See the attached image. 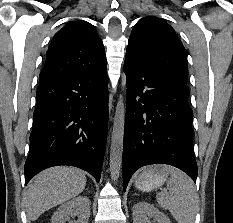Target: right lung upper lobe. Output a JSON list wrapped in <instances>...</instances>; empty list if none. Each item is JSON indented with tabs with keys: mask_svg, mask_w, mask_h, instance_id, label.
Masks as SVG:
<instances>
[{
	"mask_svg": "<svg viewBox=\"0 0 233 223\" xmlns=\"http://www.w3.org/2000/svg\"><path fill=\"white\" fill-rule=\"evenodd\" d=\"M106 66L103 42L90 23H69L53 37L40 82H53Z\"/></svg>",
	"mask_w": 233,
	"mask_h": 223,
	"instance_id": "obj_1",
	"label": "right lung upper lobe"
}]
</instances>
